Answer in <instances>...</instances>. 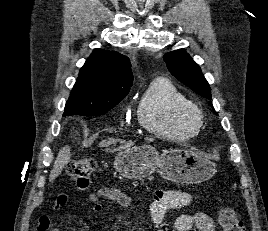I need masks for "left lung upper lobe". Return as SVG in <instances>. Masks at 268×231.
I'll return each mask as SVG.
<instances>
[{"label":"left lung upper lobe","mask_w":268,"mask_h":231,"mask_svg":"<svg viewBox=\"0 0 268 231\" xmlns=\"http://www.w3.org/2000/svg\"><path fill=\"white\" fill-rule=\"evenodd\" d=\"M164 61L171 74L201 96L210 98V86L204 78L200 67L185 52L175 50L164 55Z\"/></svg>","instance_id":"1"}]
</instances>
